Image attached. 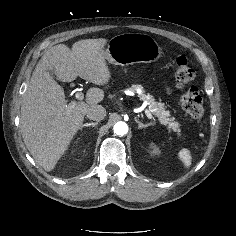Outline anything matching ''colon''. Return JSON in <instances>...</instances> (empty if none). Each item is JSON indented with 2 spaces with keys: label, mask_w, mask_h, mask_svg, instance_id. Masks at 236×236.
Instances as JSON below:
<instances>
[{
  "label": "colon",
  "mask_w": 236,
  "mask_h": 236,
  "mask_svg": "<svg viewBox=\"0 0 236 236\" xmlns=\"http://www.w3.org/2000/svg\"><path fill=\"white\" fill-rule=\"evenodd\" d=\"M195 71L189 65L187 59L180 56L176 61V86L183 90L180 104L183 110L194 120H201L204 115L202 97L198 89L192 84Z\"/></svg>",
  "instance_id": "colon-1"
}]
</instances>
